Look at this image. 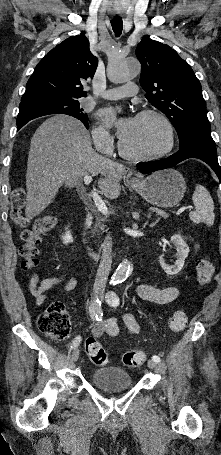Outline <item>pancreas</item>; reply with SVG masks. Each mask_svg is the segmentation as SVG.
I'll return each mask as SVG.
<instances>
[{
  "label": "pancreas",
  "instance_id": "obj_1",
  "mask_svg": "<svg viewBox=\"0 0 221 455\" xmlns=\"http://www.w3.org/2000/svg\"><path fill=\"white\" fill-rule=\"evenodd\" d=\"M105 229V225L103 224V218L97 217L96 223L93 229V234H99L100 231Z\"/></svg>",
  "mask_w": 221,
  "mask_h": 455
}]
</instances>
